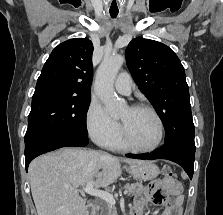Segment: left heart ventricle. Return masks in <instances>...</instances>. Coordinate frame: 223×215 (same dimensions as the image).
I'll return each mask as SVG.
<instances>
[{
	"mask_svg": "<svg viewBox=\"0 0 223 215\" xmlns=\"http://www.w3.org/2000/svg\"><path fill=\"white\" fill-rule=\"evenodd\" d=\"M119 119L133 146L148 148L155 143L158 127L148 111L126 107L119 115Z\"/></svg>",
	"mask_w": 223,
	"mask_h": 215,
	"instance_id": "left-heart-ventricle-1",
	"label": "left heart ventricle"
}]
</instances>
